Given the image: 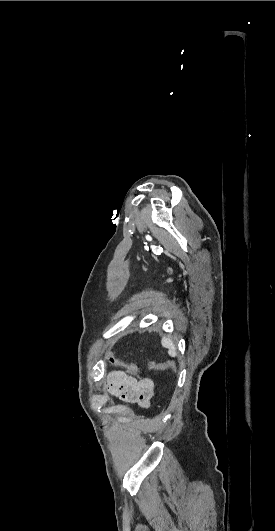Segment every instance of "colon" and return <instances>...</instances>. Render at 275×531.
Wrapping results in <instances>:
<instances>
[{
    "instance_id": "colon-1",
    "label": "colon",
    "mask_w": 275,
    "mask_h": 531,
    "mask_svg": "<svg viewBox=\"0 0 275 531\" xmlns=\"http://www.w3.org/2000/svg\"><path fill=\"white\" fill-rule=\"evenodd\" d=\"M107 356H108L109 362L117 367H123L127 369L129 372H138L140 370L137 364L128 363V362H125L123 359L116 357V353L113 350L108 351ZM147 367L150 370H154V371L170 370L172 372H175V365L171 361L166 360V359H160V360L149 362L147 364Z\"/></svg>"
}]
</instances>
